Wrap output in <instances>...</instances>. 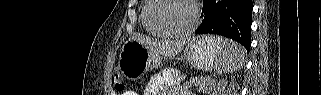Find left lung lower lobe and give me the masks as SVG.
<instances>
[{"label": "left lung lower lobe", "mask_w": 321, "mask_h": 95, "mask_svg": "<svg viewBox=\"0 0 321 95\" xmlns=\"http://www.w3.org/2000/svg\"><path fill=\"white\" fill-rule=\"evenodd\" d=\"M252 0H204V19L196 34H219L251 46Z\"/></svg>", "instance_id": "left-lung-lower-lobe-1"}]
</instances>
